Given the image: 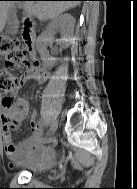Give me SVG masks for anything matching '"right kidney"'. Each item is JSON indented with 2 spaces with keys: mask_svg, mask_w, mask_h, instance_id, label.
Masks as SVG:
<instances>
[{
  "mask_svg": "<svg viewBox=\"0 0 137 189\" xmlns=\"http://www.w3.org/2000/svg\"><path fill=\"white\" fill-rule=\"evenodd\" d=\"M73 26V17L70 14H63L53 19L46 30L38 37L36 48L43 64L47 68H52L56 64L57 59L49 56L45 46L46 43L50 42L53 39V35L56 33V31H63L67 28L68 35H64V37H62L58 42L62 47H68L70 44V33H72L73 31Z\"/></svg>",
  "mask_w": 137,
  "mask_h": 189,
  "instance_id": "1",
  "label": "right kidney"
}]
</instances>
